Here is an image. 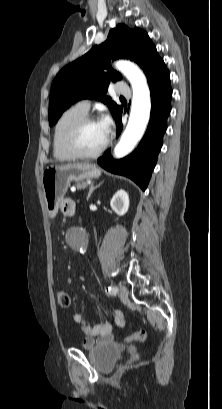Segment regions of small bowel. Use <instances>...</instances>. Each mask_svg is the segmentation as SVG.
<instances>
[{
    "label": "small bowel",
    "instance_id": "1",
    "mask_svg": "<svg viewBox=\"0 0 222 409\" xmlns=\"http://www.w3.org/2000/svg\"><path fill=\"white\" fill-rule=\"evenodd\" d=\"M76 204L73 199H66L62 202L60 210L63 214L69 216L75 213ZM111 322H101L92 324L85 320L81 313L74 312L72 318L75 322L81 325V329L85 334L83 346L91 348L97 344H103L113 341V332L116 328H121L125 324V318L120 310H113L110 313Z\"/></svg>",
    "mask_w": 222,
    "mask_h": 409
}]
</instances>
